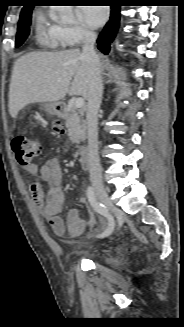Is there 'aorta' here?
<instances>
[{"mask_svg":"<svg viewBox=\"0 0 184 327\" xmlns=\"http://www.w3.org/2000/svg\"><path fill=\"white\" fill-rule=\"evenodd\" d=\"M65 17H66L67 19H72V17H73V16H72V14H71V13H69V14H68V15H66Z\"/></svg>","mask_w":184,"mask_h":327,"instance_id":"1","label":"aorta"}]
</instances>
